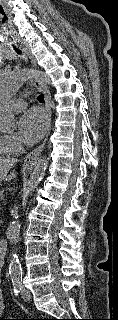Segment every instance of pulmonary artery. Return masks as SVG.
I'll use <instances>...</instances> for the list:
<instances>
[{
	"instance_id": "obj_1",
	"label": "pulmonary artery",
	"mask_w": 118,
	"mask_h": 320,
	"mask_svg": "<svg viewBox=\"0 0 118 320\" xmlns=\"http://www.w3.org/2000/svg\"><path fill=\"white\" fill-rule=\"evenodd\" d=\"M9 105L12 107L14 111H20L26 106V103L21 99H12L9 102Z\"/></svg>"
}]
</instances>
